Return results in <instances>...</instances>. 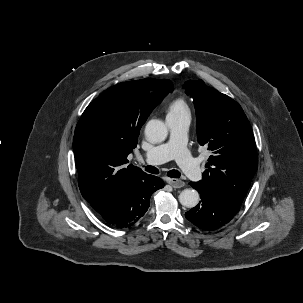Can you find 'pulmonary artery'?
I'll list each match as a JSON object with an SVG mask.
<instances>
[{
    "mask_svg": "<svg viewBox=\"0 0 303 303\" xmlns=\"http://www.w3.org/2000/svg\"><path fill=\"white\" fill-rule=\"evenodd\" d=\"M167 125L170 132L168 140L148 151L144 155L145 160L157 165L174 159L189 178L201 180L202 171L186 146L190 117L167 118Z\"/></svg>",
    "mask_w": 303,
    "mask_h": 303,
    "instance_id": "obj_1",
    "label": "pulmonary artery"
}]
</instances>
